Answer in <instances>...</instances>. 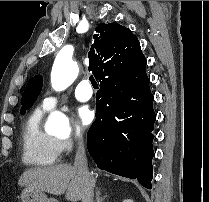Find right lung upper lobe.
Here are the masks:
<instances>
[{
  "instance_id": "1",
  "label": "right lung upper lobe",
  "mask_w": 209,
  "mask_h": 202,
  "mask_svg": "<svg viewBox=\"0 0 209 202\" xmlns=\"http://www.w3.org/2000/svg\"><path fill=\"white\" fill-rule=\"evenodd\" d=\"M89 52V70L105 90L131 85L145 73L146 59L138 38L118 24L100 23Z\"/></svg>"
}]
</instances>
